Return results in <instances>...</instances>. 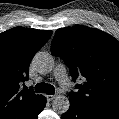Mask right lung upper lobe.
<instances>
[{
    "label": "right lung upper lobe",
    "instance_id": "cb5924a9",
    "mask_svg": "<svg viewBox=\"0 0 119 119\" xmlns=\"http://www.w3.org/2000/svg\"><path fill=\"white\" fill-rule=\"evenodd\" d=\"M51 34L22 27L0 34V119H34L38 113L45 98L21 85L29 78L33 56Z\"/></svg>",
    "mask_w": 119,
    "mask_h": 119
}]
</instances>
